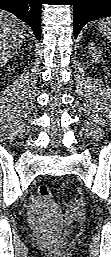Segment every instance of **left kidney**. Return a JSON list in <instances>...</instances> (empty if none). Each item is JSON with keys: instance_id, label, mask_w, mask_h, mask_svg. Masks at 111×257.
Instances as JSON below:
<instances>
[{"instance_id": "5707ae66", "label": "left kidney", "mask_w": 111, "mask_h": 257, "mask_svg": "<svg viewBox=\"0 0 111 257\" xmlns=\"http://www.w3.org/2000/svg\"><path fill=\"white\" fill-rule=\"evenodd\" d=\"M89 53L92 55L94 59L97 61V57L101 54V50L98 49L95 44L90 43L89 45Z\"/></svg>"}]
</instances>
